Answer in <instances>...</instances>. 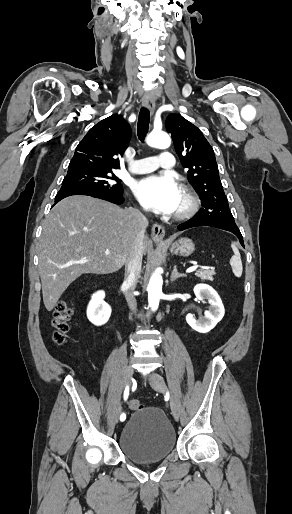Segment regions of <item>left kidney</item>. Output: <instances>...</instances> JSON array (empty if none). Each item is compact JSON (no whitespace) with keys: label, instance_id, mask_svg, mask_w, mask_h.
Instances as JSON below:
<instances>
[{"label":"left kidney","instance_id":"5707ae66","mask_svg":"<svg viewBox=\"0 0 292 514\" xmlns=\"http://www.w3.org/2000/svg\"><path fill=\"white\" fill-rule=\"evenodd\" d=\"M194 294L198 300H208V304H210L209 310L204 312V318H199V320H196L193 314H187L186 322L196 332L207 334L222 320L225 314L224 306L217 292L211 286H207V284H197L194 288Z\"/></svg>","mask_w":292,"mask_h":514}]
</instances>
